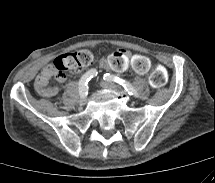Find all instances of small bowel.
I'll return each mask as SVG.
<instances>
[{
	"instance_id": "1",
	"label": "small bowel",
	"mask_w": 215,
	"mask_h": 183,
	"mask_svg": "<svg viewBox=\"0 0 215 183\" xmlns=\"http://www.w3.org/2000/svg\"><path fill=\"white\" fill-rule=\"evenodd\" d=\"M99 65L112 72L127 74L135 78L147 75L152 69V62L145 54L137 51L129 52L125 49L113 51L109 56L101 58ZM52 77L50 65L38 74L34 88L39 96L52 98L58 94V88L50 84ZM58 80L63 82L65 77L58 78Z\"/></svg>"
}]
</instances>
